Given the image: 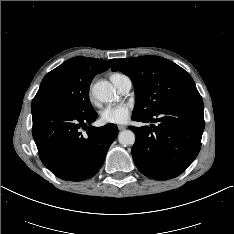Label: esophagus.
Listing matches in <instances>:
<instances>
[{
	"instance_id": "34e87169",
	"label": "esophagus",
	"mask_w": 234,
	"mask_h": 234,
	"mask_svg": "<svg viewBox=\"0 0 234 234\" xmlns=\"http://www.w3.org/2000/svg\"><path fill=\"white\" fill-rule=\"evenodd\" d=\"M118 129L119 130H124V129H126V126H124V125H118Z\"/></svg>"
}]
</instances>
